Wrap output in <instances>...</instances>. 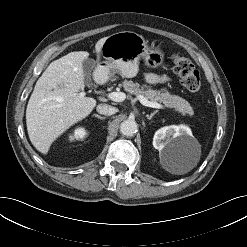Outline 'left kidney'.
Masks as SVG:
<instances>
[{"label": "left kidney", "mask_w": 247, "mask_h": 247, "mask_svg": "<svg viewBox=\"0 0 247 247\" xmlns=\"http://www.w3.org/2000/svg\"><path fill=\"white\" fill-rule=\"evenodd\" d=\"M196 145V139L189 127L171 125L159 129L153 138V146L160 156L184 158Z\"/></svg>", "instance_id": "5707ae66"}]
</instances>
